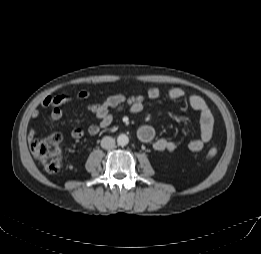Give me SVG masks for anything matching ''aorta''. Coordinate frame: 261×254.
Wrapping results in <instances>:
<instances>
[{
  "label": "aorta",
  "instance_id": "762f6f07",
  "mask_svg": "<svg viewBox=\"0 0 261 254\" xmlns=\"http://www.w3.org/2000/svg\"><path fill=\"white\" fill-rule=\"evenodd\" d=\"M117 143L120 146H126L129 143V138L126 134H120L117 137Z\"/></svg>",
  "mask_w": 261,
  "mask_h": 254
}]
</instances>
